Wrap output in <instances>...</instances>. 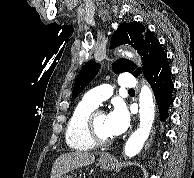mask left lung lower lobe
<instances>
[{"label":"left lung lower lobe","instance_id":"obj_1","mask_svg":"<svg viewBox=\"0 0 194 178\" xmlns=\"http://www.w3.org/2000/svg\"><path fill=\"white\" fill-rule=\"evenodd\" d=\"M146 79L154 91L160 112V119L161 121L165 120L168 117V108L173 102V82L167 56L163 57L150 73L146 75Z\"/></svg>","mask_w":194,"mask_h":178}]
</instances>
